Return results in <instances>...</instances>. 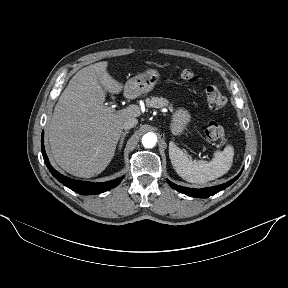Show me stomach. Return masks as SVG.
Segmentation results:
<instances>
[{
  "instance_id": "stomach-1",
  "label": "stomach",
  "mask_w": 288,
  "mask_h": 288,
  "mask_svg": "<svg viewBox=\"0 0 288 288\" xmlns=\"http://www.w3.org/2000/svg\"><path fill=\"white\" fill-rule=\"evenodd\" d=\"M159 72L156 69H147L143 73L129 79L125 84V92L130 97H137L141 94L150 92L159 81ZM189 111L180 107L172 114L170 129L173 133L180 135L190 122Z\"/></svg>"
}]
</instances>
